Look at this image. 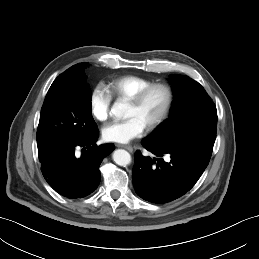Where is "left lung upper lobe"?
I'll return each mask as SVG.
<instances>
[{"label": "left lung upper lobe", "mask_w": 259, "mask_h": 259, "mask_svg": "<svg viewBox=\"0 0 259 259\" xmlns=\"http://www.w3.org/2000/svg\"><path fill=\"white\" fill-rule=\"evenodd\" d=\"M169 80L175 96L170 117L146 139L164 147L197 139L214 143L217 110L204 88L188 76L173 75Z\"/></svg>", "instance_id": "left-lung-upper-lobe-1"}]
</instances>
